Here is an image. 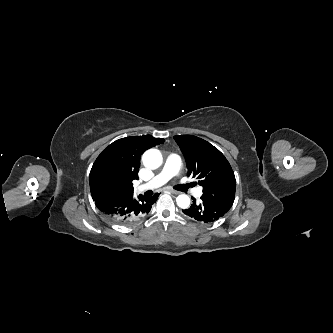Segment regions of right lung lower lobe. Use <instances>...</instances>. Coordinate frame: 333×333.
Here are the masks:
<instances>
[{
    "instance_id": "right-lung-lower-lobe-1",
    "label": "right lung lower lobe",
    "mask_w": 333,
    "mask_h": 333,
    "mask_svg": "<svg viewBox=\"0 0 333 333\" xmlns=\"http://www.w3.org/2000/svg\"><path fill=\"white\" fill-rule=\"evenodd\" d=\"M159 194L152 197L133 194H109L95 199L96 207L112 222L120 225H131L146 216Z\"/></svg>"
}]
</instances>
